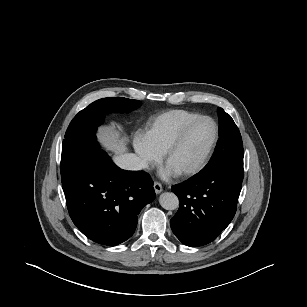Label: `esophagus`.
<instances>
[{"label": "esophagus", "mask_w": 307, "mask_h": 307, "mask_svg": "<svg viewBox=\"0 0 307 307\" xmlns=\"http://www.w3.org/2000/svg\"><path fill=\"white\" fill-rule=\"evenodd\" d=\"M154 190L156 194H159L162 192L163 188L162 185L159 182H154Z\"/></svg>", "instance_id": "esophagus-1"}]
</instances>
